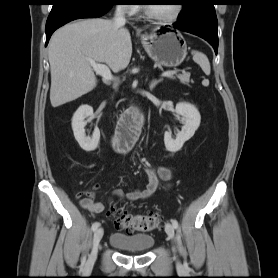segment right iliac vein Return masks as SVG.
Wrapping results in <instances>:
<instances>
[{"mask_svg":"<svg viewBox=\"0 0 278 278\" xmlns=\"http://www.w3.org/2000/svg\"><path fill=\"white\" fill-rule=\"evenodd\" d=\"M103 237V229L98 228L95 230L93 235V243H92V250L88 258L87 266L91 267L96 261L97 258V252H98V246Z\"/></svg>","mask_w":278,"mask_h":278,"instance_id":"right-iliac-vein-1","label":"right iliac vein"}]
</instances>
